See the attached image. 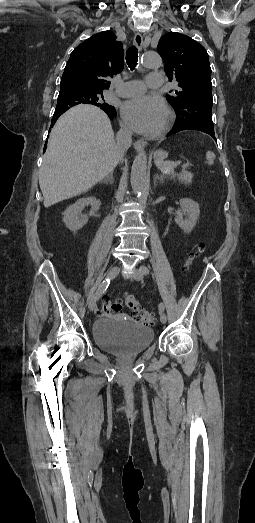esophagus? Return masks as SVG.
<instances>
[{
	"instance_id": "esophagus-1",
	"label": "esophagus",
	"mask_w": 255,
	"mask_h": 523,
	"mask_svg": "<svg viewBox=\"0 0 255 523\" xmlns=\"http://www.w3.org/2000/svg\"><path fill=\"white\" fill-rule=\"evenodd\" d=\"M134 44L135 46L141 50L142 49V44H143V38H142V35L138 32L135 34V37H134ZM146 141L144 140H137L135 143H134V148L136 151L140 152V151H144L145 149V146H146Z\"/></svg>"
}]
</instances>
